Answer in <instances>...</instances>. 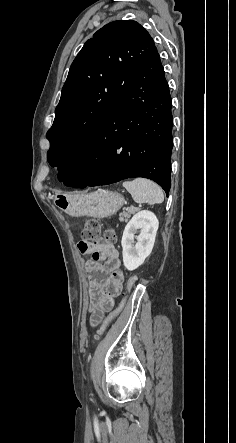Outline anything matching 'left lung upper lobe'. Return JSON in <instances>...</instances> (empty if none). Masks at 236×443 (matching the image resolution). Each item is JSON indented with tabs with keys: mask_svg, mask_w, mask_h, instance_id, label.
Masks as SVG:
<instances>
[{
	"mask_svg": "<svg viewBox=\"0 0 236 443\" xmlns=\"http://www.w3.org/2000/svg\"><path fill=\"white\" fill-rule=\"evenodd\" d=\"M155 49L149 33L132 20L111 22L86 41L70 67L46 134L51 166L61 170L76 157Z\"/></svg>",
	"mask_w": 236,
	"mask_h": 443,
	"instance_id": "obj_1",
	"label": "left lung upper lobe"
}]
</instances>
